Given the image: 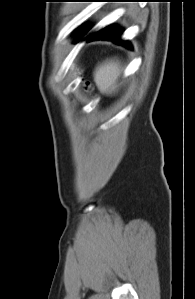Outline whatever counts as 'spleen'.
<instances>
[{
    "instance_id": "1",
    "label": "spleen",
    "mask_w": 195,
    "mask_h": 299,
    "mask_svg": "<svg viewBox=\"0 0 195 299\" xmlns=\"http://www.w3.org/2000/svg\"><path fill=\"white\" fill-rule=\"evenodd\" d=\"M120 74V62L115 59L106 60L95 69L94 81L102 93L111 94L117 88L116 82Z\"/></svg>"
}]
</instances>
